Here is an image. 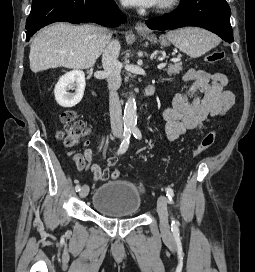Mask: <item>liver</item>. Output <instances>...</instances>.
I'll return each mask as SVG.
<instances>
[{
    "label": "liver",
    "instance_id": "6515ba94",
    "mask_svg": "<svg viewBox=\"0 0 255 272\" xmlns=\"http://www.w3.org/2000/svg\"><path fill=\"white\" fill-rule=\"evenodd\" d=\"M111 39L100 26L55 23L37 33L30 45V69L37 73L50 68L92 67Z\"/></svg>",
    "mask_w": 255,
    "mask_h": 272
}]
</instances>
